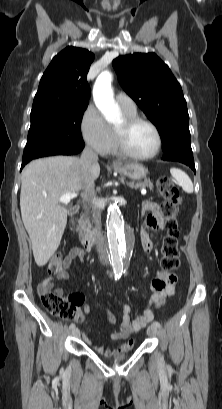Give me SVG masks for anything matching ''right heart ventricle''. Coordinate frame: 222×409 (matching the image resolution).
I'll list each match as a JSON object with an SVG mask.
<instances>
[{"label": "right heart ventricle", "instance_id": "e07e8e85", "mask_svg": "<svg viewBox=\"0 0 222 409\" xmlns=\"http://www.w3.org/2000/svg\"><path fill=\"white\" fill-rule=\"evenodd\" d=\"M122 111H123V113L125 114L126 117L136 116V111H126V110H123V109H122ZM113 134H114V142H113L111 148L108 151L109 153L110 152L111 153H117L118 152L114 131H113Z\"/></svg>", "mask_w": 222, "mask_h": 409}]
</instances>
